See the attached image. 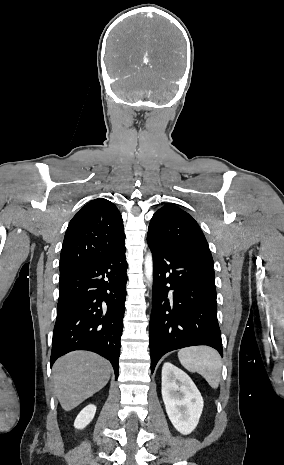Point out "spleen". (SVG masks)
Segmentation results:
<instances>
[{"label": "spleen", "instance_id": "3e777b00", "mask_svg": "<svg viewBox=\"0 0 284 465\" xmlns=\"http://www.w3.org/2000/svg\"><path fill=\"white\" fill-rule=\"evenodd\" d=\"M178 359L190 373H199L212 389L220 383L222 361L219 353L210 347H187L180 349Z\"/></svg>", "mask_w": 284, "mask_h": 465}]
</instances>
